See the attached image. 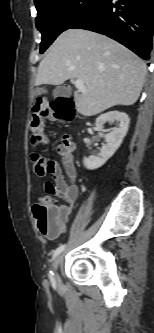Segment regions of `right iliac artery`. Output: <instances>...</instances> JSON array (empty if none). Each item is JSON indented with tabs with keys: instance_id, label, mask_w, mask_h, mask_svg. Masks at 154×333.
<instances>
[{
	"instance_id": "obj_1",
	"label": "right iliac artery",
	"mask_w": 154,
	"mask_h": 333,
	"mask_svg": "<svg viewBox=\"0 0 154 333\" xmlns=\"http://www.w3.org/2000/svg\"><path fill=\"white\" fill-rule=\"evenodd\" d=\"M65 248V245L59 246L54 252L52 256V260L55 259ZM54 273L50 270L49 271V277L51 280H53Z\"/></svg>"
}]
</instances>
